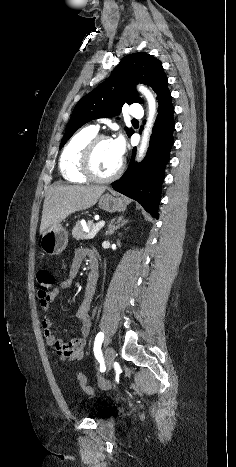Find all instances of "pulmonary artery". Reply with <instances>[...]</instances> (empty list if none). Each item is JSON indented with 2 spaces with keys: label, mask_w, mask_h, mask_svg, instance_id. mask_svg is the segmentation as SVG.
Instances as JSON below:
<instances>
[{
  "label": "pulmonary artery",
  "mask_w": 236,
  "mask_h": 467,
  "mask_svg": "<svg viewBox=\"0 0 236 467\" xmlns=\"http://www.w3.org/2000/svg\"><path fill=\"white\" fill-rule=\"evenodd\" d=\"M129 114L131 116H133L134 118H142L143 117V108L141 106V104L139 103H134L132 106H131V109L129 111ZM91 128H93L94 130L98 131L99 130V124L98 123H95V124H92L90 126Z\"/></svg>",
  "instance_id": "1"
}]
</instances>
